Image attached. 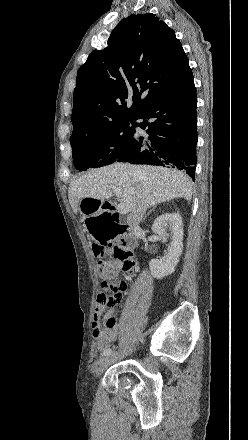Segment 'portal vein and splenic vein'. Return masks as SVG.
<instances>
[{"mask_svg":"<svg viewBox=\"0 0 248 440\" xmlns=\"http://www.w3.org/2000/svg\"><path fill=\"white\" fill-rule=\"evenodd\" d=\"M112 190L116 193L117 197H120V189L116 188V187H112ZM117 209L121 212V213H127L129 212V210L127 209V207L125 206L124 203H120L117 207Z\"/></svg>","mask_w":248,"mask_h":440,"instance_id":"portal-vein-and-splenic-vein-1","label":"portal vein and splenic vein"}]
</instances>
